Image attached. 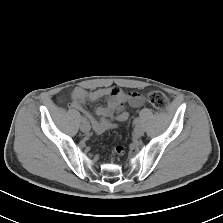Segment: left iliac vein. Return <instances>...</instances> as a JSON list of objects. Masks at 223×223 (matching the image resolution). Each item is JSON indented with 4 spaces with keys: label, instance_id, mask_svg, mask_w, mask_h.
I'll list each match as a JSON object with an SVG mask.
<instances>
[{
    "label": "left iliac vein",
    "instance_id": "obj_1",
    "mask_svg": "<svg viewBox=\"0 0 223 223\" xmlns=\"http://www.w3.org/2000/svg\"><path fill=\"white\" fill-rule=\"evenodd\" d=\"M144 134V130L143 128L140 126V125H137L135 128H134V136L139 138L141 137L142 135Z\"/></svg>",
    "mask_w": 223,
    "mask_h": 223
}]
</instances>
